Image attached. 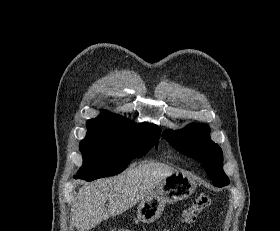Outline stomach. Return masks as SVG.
Masks as SVG:
<instances>
[{
  "label": "stomach",
  "mask_w": 280,
  "mask_h": 231,
  "mask_svg": "<svg viewBox=\"0 0 280 231\" xmlns=\"http://www.w3.org/2000/svg\"><path fill=\"white\" fill-rule=\"evenodd\" d=\"M197 183L195 177L185 169H175L171 175L165 177L156 185L145 199H142L137 209V217L143 223H152L160 217L166 203H173L179 199H186L195 191Z\"/></svg>",
  "instance_id": "stomach-1"
}]
</instances>
